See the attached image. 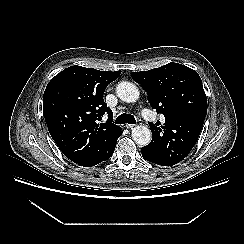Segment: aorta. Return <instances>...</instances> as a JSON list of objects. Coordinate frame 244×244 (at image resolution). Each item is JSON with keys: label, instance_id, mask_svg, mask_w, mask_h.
Returning <instances> with one entry per match:
<instances>
[{"label": "aorta", "instance_id": "1", "mask_svg": "<svg viewBox=\"0 0 244 244\" xmlns=\"http://www.w3.org/2000/svg\"><path fill=\"white\" fill-rule=\"evenodd\" d=\"M116 93L119 99L124 102L132 103L139 99V89L130 82H120L116 87ZM132 138L136 144L146 146L150 143L152 134L150 129L144 125H137L132 129Z\"/></svg>", "mask_w": 244, "mask_h": 244}]
</instances>
